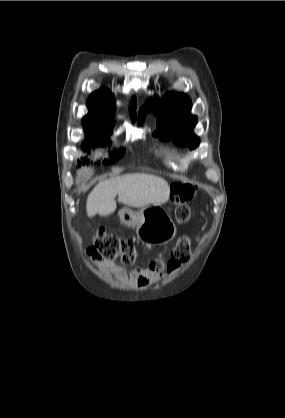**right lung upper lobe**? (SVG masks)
I'll return each instance as SVG.
<instances>
[{
  "instance_id": "1",
  "label": "right lung upper lobe",
  "mask_w": 285,
  "mask_h": 418,
  "mask_svg": "<svg viewBox=\"0 0 285 418\" xmlns=\"http://www.w3.org/2000/svg\"><path fill=\"white\" fill-rule=\"evenodd\" d=\"M89 113L83 118L84 121L97 122L107 125H113L114 119L112 117L114 112V96L106 88H102L90 95L88 99ZM135 101L132 103V119L134 120L136 114L134 108Z\"/></svg>"
}]
</instances>
